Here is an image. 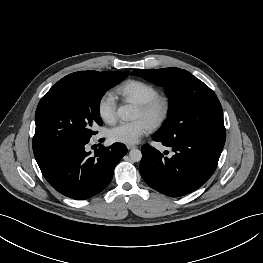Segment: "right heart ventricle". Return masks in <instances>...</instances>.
<instances>
[{
  "instance_id": "right-heart-ventricle-1",
  "label": "right heart ventricle",
  "mask_w": 263,
  "mask_h": 263,
  "mask_svg": "<svg viewBox=\"0 0 263 263\" xmlns=\"http://www.w3.org/2000/svg\"><path fill=\"white\" fill-rule=\"evenodd\" d=\"M115 92L126 101L140 104L157 95L158 89L146 81L131 79L120 84Z\"/></svg>"
}]
</instances>
